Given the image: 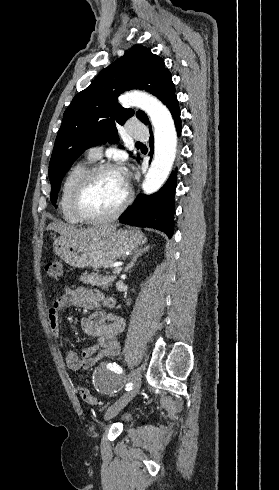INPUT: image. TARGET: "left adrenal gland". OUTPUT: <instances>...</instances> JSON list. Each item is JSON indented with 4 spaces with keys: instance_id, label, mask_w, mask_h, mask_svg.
<instances>
[{
    "instance_id": "a2214340",
    "label": "left adrenal gland",
    "mask_w": 279,
    "mask_h": 490,
    "mask_svg": "<svg viewBox=\"0 0 279 490\" xmlns=\"http://www.w3.org/2000/svg\"><path fill=\"white\" fill-rule=\"evenodd\" d=\"M150 246H144V248H139V250H136L130 264H128L127 266V270H129V268H133V266H135L139 256H142V254H144V252H148Z\"/></svg>"
}]
</instances>
